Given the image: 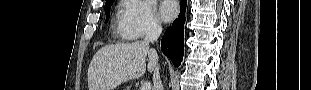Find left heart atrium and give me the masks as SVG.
<instances>
[{"instance_id":"obj_1","label":"left heart atrium","mask_w":311,"mask_h":90,"mask_svg":"<svg viewBox=\"0 0 311 90\" xmlns=\"http://www.w3.org/2000/svg\"><path fill=\"white\" fill-rule=\"evenodd\" d=\"M159 14L163 21L169 22L178 14V4L174 0H164L160 3Z\"/></svg>"}]
</instances>
